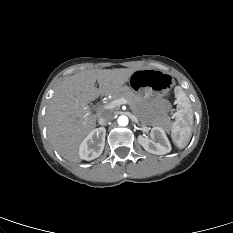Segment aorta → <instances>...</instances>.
I'll use <instances>...</instances> for the list:
<instances>
[{"label":"aorta","instance_id":"obj_1","mask_svg":"<svg viewBox=\"0 0 233 233\" xmlns=\"http://www.w3.org/2000/svg\"><path fill=\"white\" fill-rule=\"evenodd\" d=\"M118 124L120 126H127L128 125V117L127 116H124V115H121L118 117V120H117Z\"/></svg>","mask_w":233,"mask_h":233}]
</instances>
